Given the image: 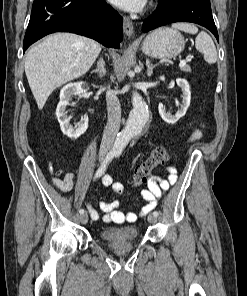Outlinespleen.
<instances>
[{
	"label": "spleen",
	"mask_w": 247,
	"mask_h": 296,
	"mask_svg": "<svg viewBox=\"0 0 247 296\" xmlns=\"http://www.w3.org/2000/svg\"><path fill=\"white\" fill-rule=\"evenodd\" d=\"M172 28L184 31L185 33L196 34L198 28L189 23H174ZM195 47L203 53L204 59L209 64H214L217 61L216 47L212 38L204 31H201L195 40Z\"/></svg>",
	"instance_id": "obj_1"
}]
</instances>
